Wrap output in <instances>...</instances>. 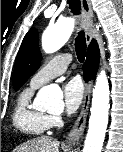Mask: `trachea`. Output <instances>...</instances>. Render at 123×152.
<instances>
[{"label": "trachea", "mask_w": 123, "mask_h": 152, "mask_svg": "<svg viewBox=\"0 0 123 152\" xmlns=\"http://www.w3.org/2000/svg\"><path fill=\"white\" fill-rule=\"evenodd\" d=\"M67 3L73 14L78 15L80 13V0H67ZM75 50L78 60L83 62L86 54V40L83 31H80L75 38Z\"/></svg>", "instance_id": "3493384b"}]
</instances>
